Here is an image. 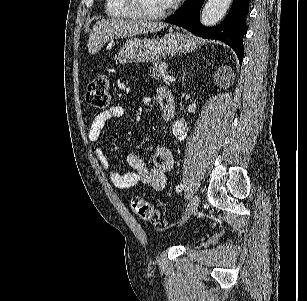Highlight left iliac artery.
Instances as JSON below:
<instances>
[{
  "label": "left iliac artery",
  "mask_w": 307,
  "mask_h": 301,
  "mask_svg": "<svg viewBox=\"0 0 307 301\" xmlns=\"http://www.w3.org/2000/svg\"><path fill=\"white\" fill-rule=\"evenodd\" d=\"M184 187H185L184 184H178L176 186V192L180 193L184 189Z\"/></svg>",
  "instance_id": "left-iliac-artery-1"
}]
</instances>
